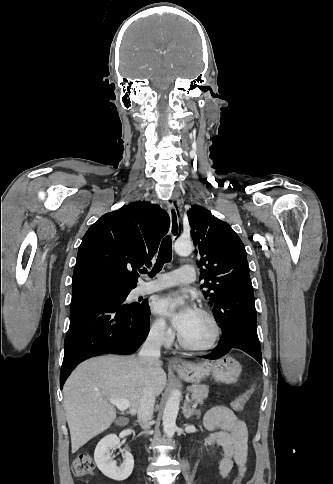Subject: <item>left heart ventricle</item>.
I'll list each match as a JSON object with an SVG mask.
<instances>
[{"label":"left heart ventricle","mask_w":333,"mask_h":484,"mask_svg":"<svg viewBox=\"0 0 333 484\" xmlns=\"http://www.w3.org/2000/svg\"><path fill=\"white\" fill-rule=\"evenodd\" d=\"M212 334L213 329L209 320L196 311L180 332L186 342L196 346L208 343Z\"/></svg>","instance_id":"b2bd125f"}]
</instances>
